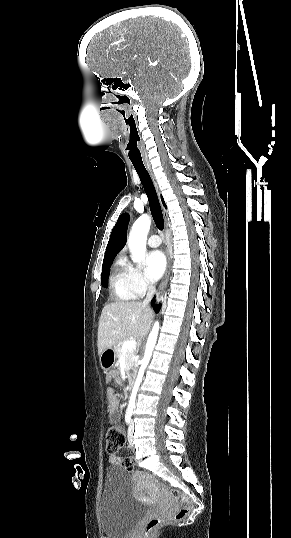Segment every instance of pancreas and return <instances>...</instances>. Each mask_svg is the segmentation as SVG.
I'll use <instances>...</instances> for the list:
<instances>
[{
  "instance_id": "pancreas-1",
  "label": "pancreas",
  "mask_w": 291,
  "mask_h": 538,
  "mask_svg": "<svg viewBox=\"0 0 291 538\" xmlns=\"http://www.w3.org/2000/svg\"><path fill=\"white\" fill-rule=\"evenodd\" d=\"M124 342L125 340H122L114 347L117 357H120L123 354L122 345ZM124 354H125L126 365H127V368L129 369L133 365V357L135 356L136 351L126 350Z\"/></svg>"
}]
</instances>
